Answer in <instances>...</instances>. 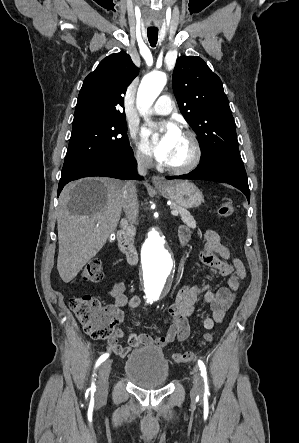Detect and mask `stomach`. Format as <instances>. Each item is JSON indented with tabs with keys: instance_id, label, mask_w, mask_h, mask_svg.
<instances>
[{
	"instance_id": "1",
	"label": "stomach",
	"mask_w": 299,
	"mask_h": 443,
	"mask_svg": "<svg viewBox=\"0 0 299 443\" xmlns=\"http://www.w3.org/2000/svg\"><path fill=\"white\" fill-rule=\"evenodd\" d=\"M157 190L177 205L189 209L201 205L204 201L202 192L191 182H168Z\"/></svg>"
}]
</instances>
